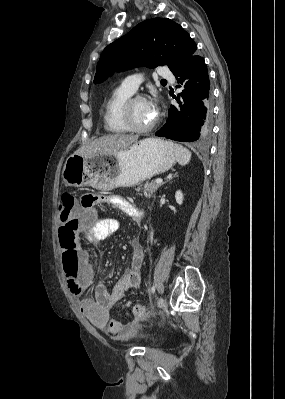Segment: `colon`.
<instances>
[{
	"label": "colon",
	"mask_w": 285,
	"mask_h": 399,
	"mask_svg": "<svg viewBox=\"0 0 285 399\" xmlns=\"http://www.w3.org/2000/svg\"><path fill=\"white\" fill-rule=\"evenodd\" d=\"M99 197L97 195L88 194L81 202V205L90 207L97 204ZM76 205V197L73 194L66 193L63 195L60 204L61 219L60 222L62 227L71 228L72 225L67 223L68 214L74 209ZM64 273L68 281L70 291L77 295L80 292V286L78 281L79 268H80V252L77 248H72L64 252L62 257ZM146 314V309L143 305H134L126 317L122 319H113V324H117L121 327H126L129 324V318L137 320Z\"/></svg>",
	"instance_id": "colon-1"
}]
</instances>
